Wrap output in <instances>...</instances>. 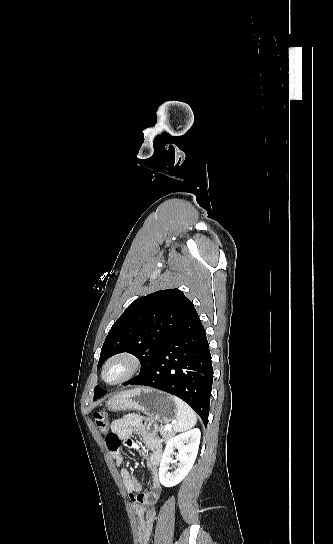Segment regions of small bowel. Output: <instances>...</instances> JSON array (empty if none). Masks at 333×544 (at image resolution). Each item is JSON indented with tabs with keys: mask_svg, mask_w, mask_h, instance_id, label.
Wrapping results in <instances>:
<instances>
[{
	"mask_svg": "<svg viewBox=\"0 0 333 544\" xmlns=\"http://www.w3.org/2000/svg\"><path fill=\"white\" fill-rule=\"evenodd\" d=\"M133 433L141 436L146 450L130 440ZM122 442L142 454L151 477L150 488L142 492V485L137 477L127 467L120 470V476L138 517L137 540L139 544H148L156 517L155 503L161 494L158 467L162 459V446L156 433V423L137 414H128L113 421L111 432L106 436V446L118 466H123L125 462Z\"/></svg>",
	"mask_w": 333,
	"mask_h": 544,
	"instance_id": "obj_1",
	"label": "small bowel"
}]
</instances>
